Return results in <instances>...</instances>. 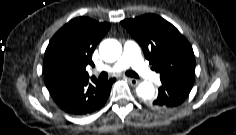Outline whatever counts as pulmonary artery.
I'll return each mask as SVG.
<instances>
[{"instance_id":"obj_1","label":"pulmonary artery","mask_w":236,"mask_h":135,"mask_svg":"<svg viewBox=\"0 0 236 135\" xmlns=\"http://www.w3.org/2000/svg\"><path fill=\"white\" fill-rule=\"evenodd\" d=\"M128 67H132L137 74L146 79L156 80L159 77L142 59L139 45L131 40L125 43L122 57L108 69L119 72Z\"/></svg>"}]
</instances>
